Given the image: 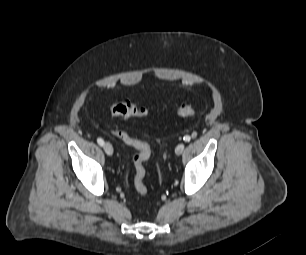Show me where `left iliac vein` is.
Segmentation results:
<instances>
[{
    "instance_id": "1",
    "label": "left iliac vein",
    "mask_w": 306,
    "mask_h": 255,
    "mask_svg": "<svg viewBox=\"0 0 306 255\" xmlns=\"http://www.w3.org/2000/svg\"><path fill=\"white\" fill-rule=\"evenodd\" d=\"M185 145L183 143H180L177 145V147L175 148V153L176 155H181L182 152L184 151Z\"/></svg>"
}]
</instances>
